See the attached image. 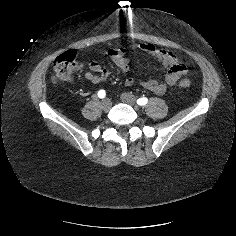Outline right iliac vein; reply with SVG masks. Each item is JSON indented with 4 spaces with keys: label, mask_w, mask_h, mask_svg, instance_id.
<instances>
[{
    "label": "right iliac vein",
    "mask_w": 236,
    "mask_h": 236,
    "mask_svg": "<svg viewBox=\"0 0 236 236\" xmlns=\"http://www.w3.org/2000/svg\"><path fill=\"white\" fill-rule=\"evenodd\" d=\"M111 105H112V103L109 99H104L101 102V107L104 111H108L111 108Z\"/></svg>",
    "instance_id": "right-iliac-vein-1"
}]
</instances>
